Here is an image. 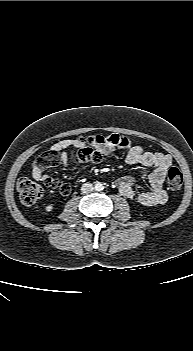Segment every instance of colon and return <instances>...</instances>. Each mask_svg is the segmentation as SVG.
<instances>
[{
    "mask_svg": "<svg viewBox=\"0 0 193 351\" xmlns=\"http://www.w3.org/2000/svg\"><path fill=\"white\" fill-rule=\"evenodd\" d=\"M82 148L75 155L77 164L97 163L102 159V153L99 146L104 140L101 136H90L80 140ZM60 163V157L57 152L49 151L40 155L33 163V173H43L47 168L57 166ZM168 186L177 190L183 183V175L177 167H171L167 173ZM48 183L63 195H68L70 186L62 181L50 179ZM17 189L20 200L26 205L34 204L42 195V187L37 182L29 178H21L17 183Z\"/></svg>",
    "mask_w": 193,
    "mask_h": 351,
    "instance_id": "colon-1",
    "label": "colon"
}]
</instances>
